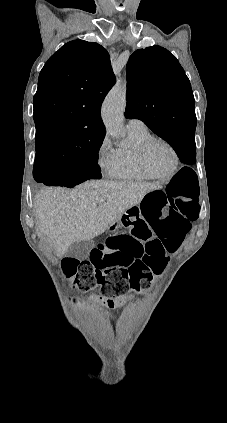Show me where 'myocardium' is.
Here are the masks:
<instances>
[{"instance_id":"myocardium-1","label":"myocardium","mask_w":227,"mask_h":423,"mask_svg":"<svg viewBox=\"0 0 227 423\" xmlns=\"http://www.w3.org/2000/svg\"><path fill=\"white\" fill-rule=\"evenodd\" d=\"M156 143L164 145L171 152L173 157V164L170 171L163 175L155 174L154 172H152L147 164V153L149 149ZM135 158H136L137 167L140 170V172L146 178L155 179V180L170 179L176 174L180 165V157L175 147L170 142L160 137H149L147 140L142 142L136 150Z\"/></svg>"}]
</instances>
